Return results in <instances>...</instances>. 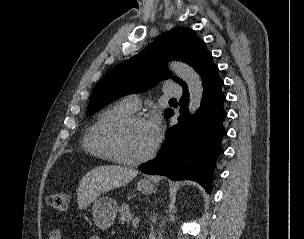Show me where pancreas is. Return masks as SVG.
<instances>
[{"instance_id":"obj_1","label":"pancreas","mask_w":304,"mask_h":239,"mask_svg":"<svg viewBox=\"0 0 304 239\" xmlns=\"http://www.w3.org/2000/svg\"><path fill=\"white\" fill-rule=\"evenodd\" d=\"M119 222L121 224L129 223L130 220L133 217V214L130 212L129 205L126 203H123L119 209Z\"/></svg>"}]
</instances>
